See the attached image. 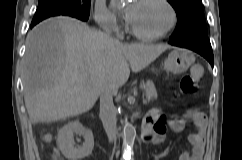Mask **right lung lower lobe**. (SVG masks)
I'll return each instance as SVG.
<instances>
[{"label": "right lung lower lobe", "instance_id": "1", "mask_svg": "<svg viewBox=\"0 0 242 160\" xmlns=\"http://www.w3.org/2000/svg\"><path fill=\"white\" fill-rule=\"evenodd\" d=\"M36 24H31V27L35 26Z\"/></svg>", "mask_w": 242, "mask_h": 160}]
</instances>
